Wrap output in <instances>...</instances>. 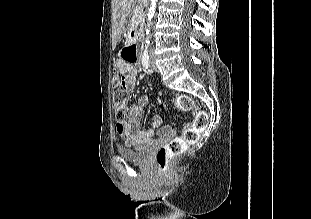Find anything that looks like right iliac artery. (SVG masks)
<instances>
[{"label":"right iliac artery","mask_w":311,"mask_h":219,"mask_svg":"<svg viewBox=\"0 0 311 219\" xmlns=\"http://www.w3.org/2000/svg\"><path fill=\"white\" fill-rule=\"evenodd\" d=\"M142 64L145 68H148L150 65L148 51H146V50H145L143 57H142Z\"/></svg>","instance_id":"82829eb1"}]
</instances>
